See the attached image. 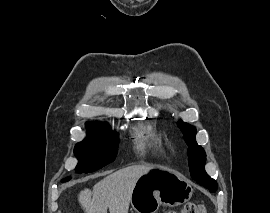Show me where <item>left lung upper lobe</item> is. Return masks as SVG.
<instances>
[{
  "instance_id": "left-lung-upper-lobe-1",
  "label": "left lung upper lobe",
  "mask_w": 270,
  "mask_h": 213,
  "mask_svg": "<svg viewBox=\"0 0 270 213\" xmlns=\"http://www.w3.org/2000/svg\"><path fill=\"white\" fill-rule=\"evenodd\" d=\"M178 126L183 131L185 141L189 146L188 160L191 177L211 192H215L217 183L205 172L206 154L204 149L195 140L196 128L182 121H179Z\"/></svg>"
}]
</instances>
